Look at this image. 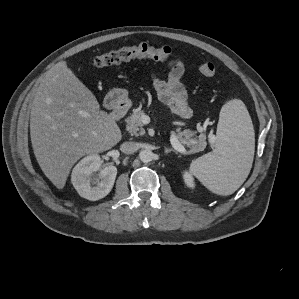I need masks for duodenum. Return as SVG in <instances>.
Listing matches in <instances>:
<instances>
[{
    "mask_svg": "<svg viewBox=\"0 0 299 299\" xmlns=\"http://www.w3.org/2000/svg\"><path fill=\"white\" fill-rule=\"evenodd\" d=\"M110 101L112 102L110 117L113 121H118L126 114L129 104L125 101H114L113 97Z\"/></svg>",
    "mask_w": 299,
    "mask_h": 299,
    "instance_id": "1",
    "label": "duodenum"
}]
</instances>
